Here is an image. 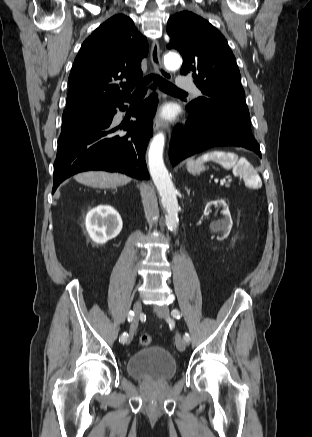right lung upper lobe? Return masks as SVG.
<instances>
[{
  "mask_svg": "<svg viewBox=\"0 0 312 437\" xmlns=\"http://www.w3.org/2000/svg\"><path fill=\"white\" fill-rule=\"evenodd\" d=\"M147 52L146 38L129 17L117 14L108 19L84 41L75 58L65 111L110 108L130 97L142 79L140 64Z\"/></svg>",
  "mask_w": 312,
  "mask_h": 437,
  "instance_id": "obj_1",
  "label": "right lung upper lobe"
}]
</instances>
